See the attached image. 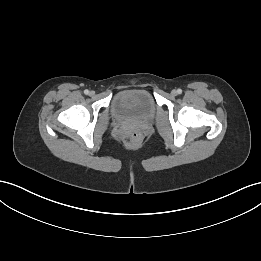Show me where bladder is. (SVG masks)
Returning <instances> with one entry per match:
<instances>
[{"instance_id": "1", "label": "bladder", "mask_w": 261, "mask_h": 261, "mask_svg": "<svg viewBox=\"0 0 261 261\" xmlns=\"http://www.w3.org/2000/svg\"><path fill=\"white\" fill-rule=\"evenodd\" d=\"M156 105L151 93L145 89H126L118 92L111 104L115 120L147 122L154 118Z\"/></svg>"}]
</instances>
